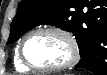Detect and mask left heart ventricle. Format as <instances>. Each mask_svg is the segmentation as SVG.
Returning <instances> with one entry per match:
<instances>
[{"mask_svg": "<svg viewBox=\"0 0 107 75\" xmlns=\"http://www.w3.org/2000/svg\"><path fill=\"white\" fill-rule=\"evenodd\" d=\"M70 48L67 42L53 33H37L27 41L25 56L37 66H54L68 61Z\"/></svg>", "mask_w": 107, "mask_h": 75, "instance_id": "obj_1", "label": "left heart ventricle"}]
</instances>
